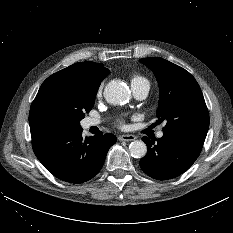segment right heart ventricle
Wrapping results in <instances>:
<instances>
[{"mask_svg":"<svg viewBox=\"0 0 233 233\" xmlns=\"http://www.w3.org/2000/svg\"><path fill=\"white\" fill-rule=\"evenodd\" d=\"M143 81L148 82V80L145 77H143L142 75H140V74H134L131 77V84L138 83V82H143Z\"/></svg>","mask_w":233,"mask_h":233,"instance_id":"right-heart-ventricle-1","label":"right heart ventricle"}]
</instances>
